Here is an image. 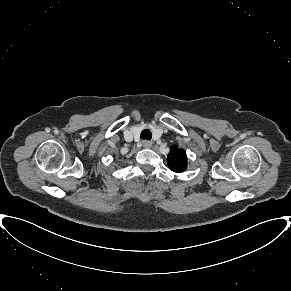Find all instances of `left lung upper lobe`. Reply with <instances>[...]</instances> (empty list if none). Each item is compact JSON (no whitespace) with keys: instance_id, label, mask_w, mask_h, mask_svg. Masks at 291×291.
I'll return each mask as SVG.
<instances>
[{"instance_id":"1","label":"left lung upper lobe","mask_w":291,"mask_h":291,"mask_svg":"<svg viewBox=\"0 0 291 291\" xmlns=\"http://www.w3.org/2000/svg\"><path fill=\"white\" fill-rule=\"evenodd\" d=\"M168 166L174 172H183L187 168V156L183 149L176 146L171 147L168 154Z\"/></svg>"}]
</instances>
